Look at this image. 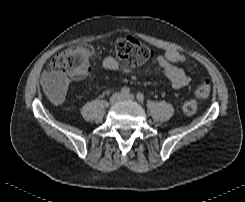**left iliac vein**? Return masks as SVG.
<instances>
[{
  "mask_svg": "<svg viewBox=\"0 0 245 202\" xmlns=\"http://www.w3.org/2000/svg\"><path fill=\"white\" fill-rule=\"evenodd\" d=\"M122 99L132 101V100H134V95L133 94L125 95V96H123Z\"/></svg>",
  "mask_w": 245,
  "mask_h": 202,
  "instance_id": "left-iliac-vein-1",
  "label": "left iliac vein"
}]
</instances>
